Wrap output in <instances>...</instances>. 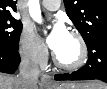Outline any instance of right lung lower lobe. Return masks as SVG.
Segmentation results:
<instances>
[{"instance_id": "obj_1", "label": "right lung lower lobe", "mask_w": 107, "mask_h": 89, "mask_svg": "<svg viewBox=\"0 0 107 89\" xmlns=\"http://www.w3.org/2000/svg\"><path fill=\"white\" fill-rule=\"evenodd\" d=\"M20 63L17 51L12 52L0 47V72L13 74Z\"/></svg>"}]
</instances>
